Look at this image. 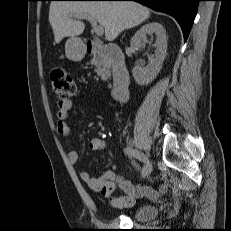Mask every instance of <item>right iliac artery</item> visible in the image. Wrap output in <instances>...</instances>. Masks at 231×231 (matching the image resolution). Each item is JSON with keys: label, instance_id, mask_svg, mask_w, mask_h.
Segmentation results:
<instances>
[{"label": "right iliac artery", "instance_id": "obj_1", "mask_svg": "<svg viewBox=\"0 0 231 231\" xmlns=\"http://www.w3.org/2000/svg\"><path fill=\"white\" fill-rule=\"evenodd\" d=\"M124 152L126 155L130 157H134L145 164L141 172V176L143 178H146L150 175L152 169L148 167L147 165L148 158L143 153H140L139 151L132 149L130 147L125 148Z\"/></svg>", "mask_w": 231, "mask_h": 231}]
</instances>
